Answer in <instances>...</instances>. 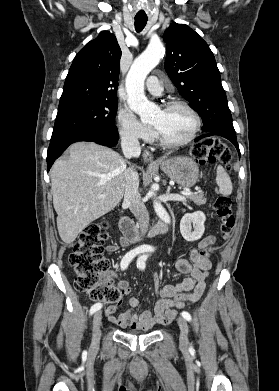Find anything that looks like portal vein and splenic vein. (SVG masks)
I'll use <instances>...</instances> for the list:
<instances>
[{
  "mask_svg": "<svg viewBox=\"0 0 279 391\" xmlns=\"http://www.w3.org/2000/svg\"><path fill=\"white\" fill-rule=\"evenodd\" d=\"M182 195H185V196H188V195H191L193 194L191 191H181L180 192ZM104 197V196H103Z\"/></svg>",
  "mask_w": 279,
  "mask_h": 391,
  "instance_id": "18ae733b",
  "label": "portal vein and splenic vein"
}]
</instances>
